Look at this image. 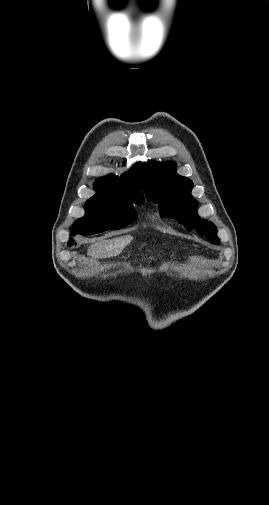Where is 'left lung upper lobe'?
Masks as SVG:
<instances>
[{
	"mask_svg": "<svg viewBox=\"0 0 269 505\" xmlns=\"http://www.w3.org/2000/svg\"><path fill=\"white\" fill-rule=\"evenodd\" d=\"M143 168L147 200L159 204L161 216L175 218L187 229H196L201 237L219 244L216 226L196 213L197 202L191 196L192 181L176 174V164L147 162Z\"/></svg>",
	"mask_w": 269,
	"mask_h": 505,
	"instance_id": "1",
	"label": "left lung upper lobe"
}]
</instances>
